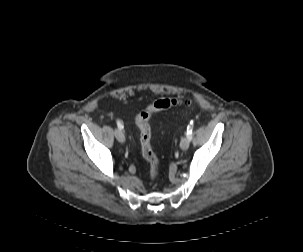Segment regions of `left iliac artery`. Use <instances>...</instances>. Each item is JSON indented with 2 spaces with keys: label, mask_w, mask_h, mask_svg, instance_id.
Here are the masks:
<instances>
[{
  "label": "left iliac artery",
  "mask_w": 303,
  "mask_h": 252,
  "mask_svg": "<svg viewBox=\"0 0 303 252\" xmlns=\"http://www.w3.org/2000/svg\"><path fill=\"white\" fill-rule=\"evenodd\" d=\"M192 130H193V121L190 122V124L187 127V136L192 139Z\"/></svg>",
  "instance_id": "obj_1"
}]
</instances>
